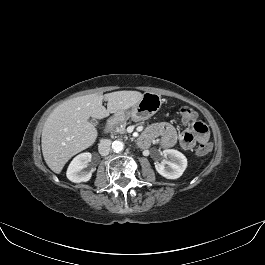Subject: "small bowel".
Masks as SVG:
<instances>
[{
	"mask_svg": "<svg viewBox=\"0 0 265 265\" xmlns=\"http://www.w3.org/2000/svg\"><path fill=\"white\" fill-rule=\"evenodd\" d=\"M185 122L188 124V129L179 135L175 128L168 123L153 124L143 133L140 141L143 146H148L154 139L159 138L160 144L164 148H170L179 140L180 145L185 149L193 148L196 142L204 144L208 141V128L203 122L198 120Z\"/></svg>",
	"mask_w": 265,
	"mask_h": 265,
	"instance_id": "c3829d8e",
	"label": "small bowel"
}]
</instances>
